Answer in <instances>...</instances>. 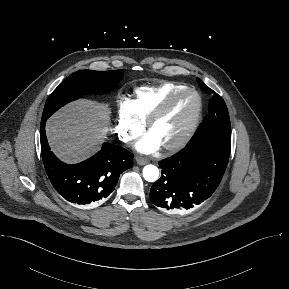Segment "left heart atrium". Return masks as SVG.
Listing matches in <instances>:
<instances>
[{
    "mask_svg": "<svg viewBox=\"0 0 289 289\" xmlns=\"http://www.w3.org/2000/svg\"><path fill=\"white\" fill-rule=\"evenodd\" d=\"M160 147V143L149 133L142 140H140L136 148L142 153H151Z\"/></svg>",
    "mask_w": 289,
    "mask_h": 289,
    "instance_id": "39dd6f15",
    "label": "left heart atrium"
}]
</instances>
